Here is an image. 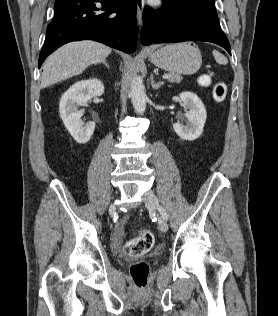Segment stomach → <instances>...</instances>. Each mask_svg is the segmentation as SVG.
I'll use <instances>...</instances> for the list:
<instances>
[{
	"label": "stomach",
	"mask_w": 278,
	"mask_h": 316,
	"mask_svg": "<svg viewBox=\"0 0 278 316\" xmlns=\"http://www.w3.org/2000/svg\"><path fill=\"white\" fill-rule=\"evenodd\" d=\"M157 67L176 74L192 75L202 64L198 47L192 43H179L162 47L149 55Z\"/></svg>",
	"instance_id": "obj_1"
}]
</instances>
